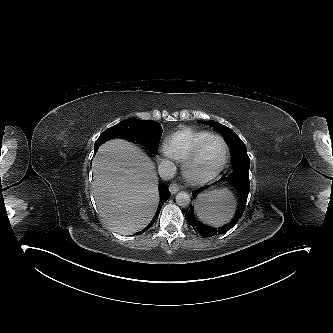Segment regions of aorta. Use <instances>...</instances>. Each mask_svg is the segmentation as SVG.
I'll use <instances>...</instances> for the list:
<instances>
[{"label":"aorta","instance_id":"762f6f07","mask_svg":"<svg viewBox=\"0 0 333 333\" xmlns=\"http://www.w3.org/2000/svg\"><path fill=\"white\" fill-rule=\"evenodd\" d=\"M175 199H176L177 205H179L180 207H187L191 201L190 195L186 192H179L176 195Z\"/></svg>","mask_w":333,"mask_h":333}]
</instances>
